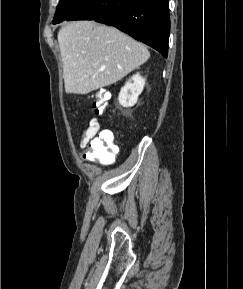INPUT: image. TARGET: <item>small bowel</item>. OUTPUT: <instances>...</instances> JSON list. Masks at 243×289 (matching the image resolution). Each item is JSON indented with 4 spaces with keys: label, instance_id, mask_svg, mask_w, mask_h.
Masks as SVG:
<instances>
[{
    "label": "small bowel",
    "instance_id": "small-bowel-1",
    "mask_svg": "<svg viewBox=\"0 0 243 289\" xmlns=\"http://www.w3.org/2000/svg\"><path fill=\"white\" fill-rule=\"evenodd\" d=\"M101 132V126L97 118H92L88 126L83 130L80 136L81 148H86L87 145Z\"/></svg>",
    "mask_w": 243,
    "mask_h": 289
}]
</instances>
